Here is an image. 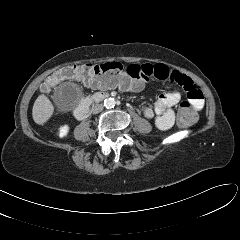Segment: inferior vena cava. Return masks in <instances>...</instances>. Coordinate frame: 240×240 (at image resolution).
<instances>
[{
	"mask_svg": "<svg viewBox=\"0 0 240 240\" xmlns=\"http://www.w3.org/2000/svg\"><path fill=\"white\" fill-rule=\"evenodd\" d=\"M102 110H103V106L101 104H97V105L92 107L91 112L93 114H97V113L101 112Z\"/></svg>",
	"mask_w": 240,
	"mask_h": 240,
	"instance_id": "1",
	"label": "inferior vena cava"
}]
</instances>
